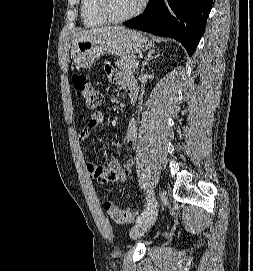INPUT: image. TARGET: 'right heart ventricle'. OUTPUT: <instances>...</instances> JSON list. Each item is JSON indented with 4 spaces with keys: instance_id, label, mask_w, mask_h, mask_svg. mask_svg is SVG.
Listing matches in <instances>:
<instances>
[{
    "instance_id": "1",
    "label": "right heart ventricle",
    "mask_w": 253,
    "mask_h": 271,
    "mask_svg": "<svg viewBox=\"0 0 253 271\" xmlns=\"http://www.w3.org/2000/svg\"><path fill=\"white\" fill-rule=\"evenodd\" d=\"M80 17L87 28H96L107 24L96 10V0H81Z\"/></svg>"
}]
</instances>
